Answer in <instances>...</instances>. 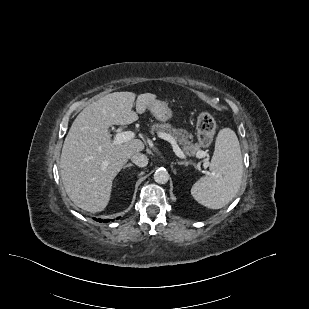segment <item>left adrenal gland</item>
Listing matches in <instances>:
<instances>
[{"label":"left adrenal gland","mask_w":309,"mask_h":309,"mask_svg":"<svg viewBox=\"0 0 309 309\" xmlns=\"http://www.w3.org/2000/svg\"><path fill=\"white\" fill-rule=\"evenodd\" d=\"M178 165H184V166H188L193 164L191 161H177Z\"/></svg>","instance_id":"a2214340"}]
</instances>
